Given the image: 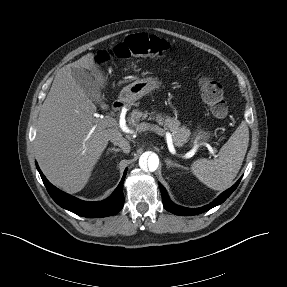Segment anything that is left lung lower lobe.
<instances>
[{"mask_svg": "<svg viewBox=\"0 0 287 287\" xmlns=\"http://www.w3.org/2000/svg\"><path fill=\"white\" fill-rule=\"evenodd\" d=\"M240 180L241 179H239L231 188H229L228 190L220 194V196H218L212 203L206 206H203L200 208H194V209L185 208V207H181V206L173 204L170 201L165 188L161 184H159V186H160L161 193H162L163 204L166 210L176 215L190 216V215H196V214L206 212L210 210L211 208L223 203L231 195V193L237 188Z\"/></svg>", "mask_w": 287, "mask_h": 287, "instance_id": "0a47b994", "label": "left lung lower lobe"}]
</instances>
